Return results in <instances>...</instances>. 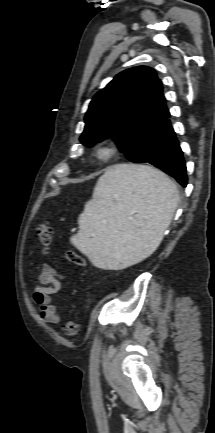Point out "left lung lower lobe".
Here are the masks:
<instances>
[{
	"instance_id": "0a47b994",
	"label": "left lung lower lobe",
	"mask_w": 215,
	"mask_h": 433,
	"mask_svg": "<svg viewBox=\"0 0 215 433\" xmlns=\"http://www.w3.org/2000/svg\"><path fill=\"white\" fill-rule=\"evenodd\" d=\"M155 167L169 174L175 178L179 184L186 187L187 176L183 152L171 126L163 141L161 152Z\"/></svg>"
}]
</instances>
